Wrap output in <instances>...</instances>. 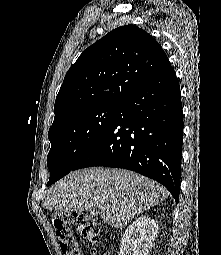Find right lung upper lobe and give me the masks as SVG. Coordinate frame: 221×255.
Masks as SVG:
<instances>
[{
    "instance_id": "cb5924a9",
    "label": "right lung upper lobe",
    "mask_w": 221,
    "mask_h": 255,
    "mask_svg": "<svg viewBox=\"0 0 221 255\" xmlns=\"http://www.w3.org/2000/svg\"><path fill=\"white\" fill-rule=\"evenodd\" d=\"M168 63L159 43L144 30L135 25L112 30L85 49L66 73L52 126L81 109L121 103Z\"/></svg>"
}]
</instances>
